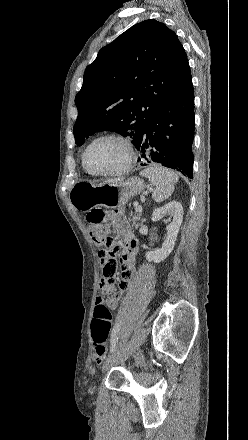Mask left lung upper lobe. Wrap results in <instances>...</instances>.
Masks as SVG:
<instances>
[{
	"mask_svg": "<svg viewBox=\"0 0 248 440\" xmlns=\"http://www.w3.org/2000/svg\"><path fill=\"white\" fill-rule=\"evenodd\" d=\"M191 81L185 50L172 30L154 19L132 26L85 70L75 98L76 144L108 130L132 137L136 146L151 117Z\"/></svg>",
	"mask_w": 248,
	"mask_h": 440,
	"instance_id": "5c2ea615",
	"label": "left lung upper lobe"
}]
</instances>
